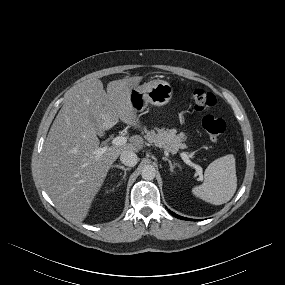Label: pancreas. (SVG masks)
<instances>
[{
  "mask_svg": "<svg viewBox=\"0 0 285 285\" xmlns=\"http://www.w3.org/2000/svg\"><path fill=\"white\" fill-rule=\"evenodd\" d=\"M145 138L149 143L163 148L165 151L175 154L179 149L186 148L183 141L186 139L184 133L177 134L175 129H156V131L145 130Z\"/></svg>",
  "mask_w": 285,
  "mask_h": 285,
  "instance_id": "obj_1",
  "label": "pancreas"
}]
</instances>
